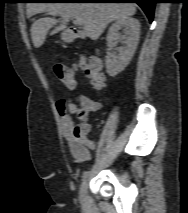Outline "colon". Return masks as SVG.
Segmentation results:
<instances>
[{
	"label": "colon",
	"mask_w": 188,
	"mask_h": 213,
	"mask_svg": "<svg viewBox=\"0 0 188 213\" xmlns=\"http://www.w3.org/2000/svg\"><path fill=\"white\" fill-rule=\"evenodd\" d=\"M75 69L82 70L96 90H101L105 87V76L100 72L99 64L94 63L92 59L82 58L74 68H70L62 63H56L54 65L56 76L70 89L76 87Z\"/></svg>",
	"instance_id": "1"
}]
</instances>
